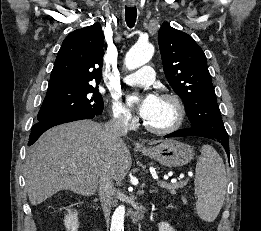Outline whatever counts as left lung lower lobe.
<instances>
[{
    "mask_svg": "<svg viewBox=\"0 0 261 231\" xmlns=\"http://www.w3.org/2000/svg\"><path fill=\"white\" fill-rule=\"evenodd\" d=\"M185 136H200V137H206L209 138L207 136H205L204 134H202L199 130L193 129V128H186V129H180L177 130L171 134L166 135L165 137H185ZM215 141H218L219 143H221L224 148L226 153L229 155V141L228 139H224V138H209Z\"/></svg>",
    "mask_w": 261,
    "mask_h": 231,
    "instance_id": "1",
    "label": "left lung lower lobe"
}]
</instances>
